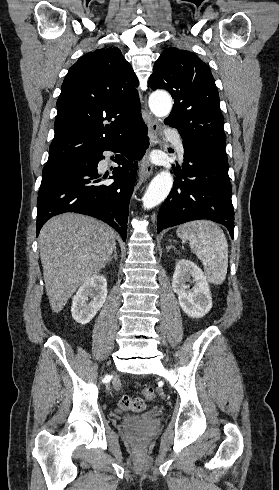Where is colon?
Segmentation results:
<instances>
[{
    "label": "colon",
    "mask_w": 279,
    "mask_h": 490,
    "mask_svg": "<svg viewBox=\"0 0 279 490\" xmlns=\"http://www.w3.org/2000/svg\"><path fill=\"white\" fill-rule=\"evenodd\" d=\"M155 397V391L151 387L145 388L140 397L131 398L130 396H123L119 399V407L122 410L142 412L149 402Z\"/></svg>",
    "instance_id": "colon-1"
}]
</instances>
